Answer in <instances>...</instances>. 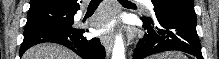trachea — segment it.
Listing matches in <instances>:
<instances>
[{
	"label": "trachea",
	"instance_id": "1",
	"mask_svg": "<svg viewBox=\"0 0 219 59\" xmlns=\"http://www.w3.org/2000/svg\"><path fill=\"white\" fill-rule=\"evenodd\" d=\"M119 2L132 4V2H130L128 0H119ZM100 3H101V0H91L89 3V8H97Z\"/></svg>",
	"mask_w": 219,
	"mask_h": 59
}]
</instances>
